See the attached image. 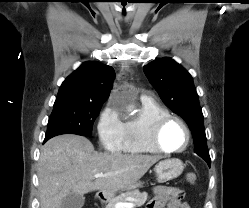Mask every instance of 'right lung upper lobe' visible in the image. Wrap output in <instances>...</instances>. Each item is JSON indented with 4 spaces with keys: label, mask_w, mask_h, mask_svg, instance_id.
<instances>
[{
    "label": "right lung upper lobe",
    "mask_w": 249,
    "mask_h": 208,
    "mask_svg": "<svg viewBox=\"0 0 249 208\" xmlns=\"http://www.w3.org/2000/svg\"><path fill=\"white\" fill-rule=\"evenodd\" d=\"M114 69L99 62H85L62 83L54 106L104 103L109 97Z\"/></svg>",
    "instance_id": "1"
}]
</instances>
